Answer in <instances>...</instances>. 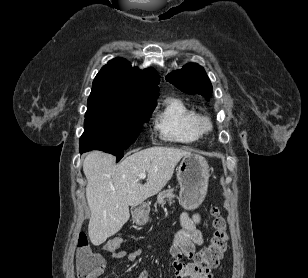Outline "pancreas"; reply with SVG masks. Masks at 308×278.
Listing matches in <instances>:
<instances>
[{"label":"pancreas","instance_id":"cf45deb5","mask_svg":"<svg viewBox=\"0 0 308 278\" xmlns=\"http://www.w3.org/2000/svg\"><path fill=\"white\" fill-rule=\"evenodd\" d=\"M173 189H167L160 192L157 196V204L164 206L166 204V200L170 203H174L175 195L173 194Z\"/></svg>","mask_w":308,"mask_h":278}]
</instances>
